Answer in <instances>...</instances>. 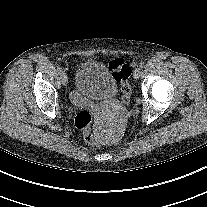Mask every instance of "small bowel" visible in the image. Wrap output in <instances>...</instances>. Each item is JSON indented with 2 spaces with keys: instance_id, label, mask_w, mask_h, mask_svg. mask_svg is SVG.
<instances>
[{
  "instance_id": "c3829d8e",
  "label": "small bowel",
  "mask_w": 207,
  "mask_h": 207,
  "mask_svg": "<svg viewBox=\"0 0 207 207\" xmlns=\"http://www.w3.org/2000/svg\"><path fill=\"white\" fill-rule=\"evenodd\" d=\"M73 101L77 106H83L85 104L84 101L77 96H74Z\"/></svg>"
}]
</instances>
